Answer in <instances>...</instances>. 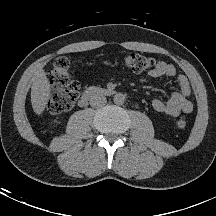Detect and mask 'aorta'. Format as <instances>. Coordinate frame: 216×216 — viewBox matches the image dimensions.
<instances>
[{
	"label": "aorta",
	"instance_id": "1",
	"mask_svg": "<svg viewBox=\"0 0 216 216\" xmlns=\"http://www.w3.org/2000/svg\"><path fill=\"white\" fill-rule=\"evenodd\" d=\"M125 95L122 93H117L114 95L113 101L117 105H122L125 102Z\"/></svg>",
	"mask_w": 216,
	"mask_h": 216
}]
</instances>
